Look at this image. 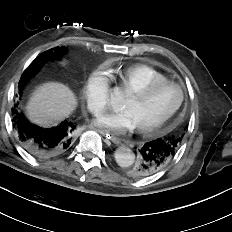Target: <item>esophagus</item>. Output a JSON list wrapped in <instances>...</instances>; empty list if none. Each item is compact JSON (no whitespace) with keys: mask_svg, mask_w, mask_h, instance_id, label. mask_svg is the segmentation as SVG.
Instances as JSON below:
<instances>
[{"mask_svg":"<svg viewBox=\"0 0 232 232\" xmlns=\"http://www.w3.org/2000/svg\"><path fill=\"white\" fill-rule=\"evenodd\" d=\"M95 131L99 132L101 135H103L106 139V141H111L115 144L120 143V140L116 137H112L107 131L102 130L100 128H94Z\"/></svg>","mask_w":232,"mask_h":232,"instance_id":"obj_1","label":"esophagus"}]
</instances>
